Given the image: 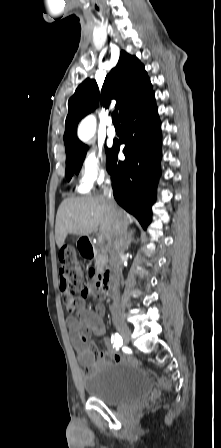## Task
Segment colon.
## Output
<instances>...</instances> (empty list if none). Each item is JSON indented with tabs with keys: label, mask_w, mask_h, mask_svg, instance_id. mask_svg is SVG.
Segmentation results:
<instances>
[{
	"label": "colon",
	"mask_w": 221,
	"mask_h": 448,
	"mask_svg": "<svg viewBox=\"0 0 221 448\" xmlns=\"http://www.w3.org/2000/svg\"><path fill=\"white\" fill-rule=\"evenodd\" d=\"M60 259V287L63 293L76 299L84 293V271L79 259L76 256L75 249L72 246H65L59 254ZM91 278H95L97 274L94 271L88 273ZM125 363L138 364V360L134 358H124ZM164 387L168 388L170 383L167 379H162Z\"/></svg>",
	"instance_id": "obj_1"
}]
</instances>
